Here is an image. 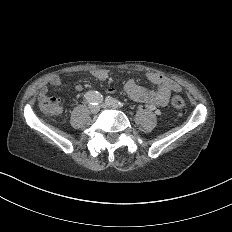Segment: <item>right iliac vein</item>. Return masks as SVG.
Wrapping results in <instances>:
<instances>
[{
    "label": "right iliac vein",
    "mask_w": 232,
    "mask_h": 232,
    "mask_svg": "<svg viewBox=\"0 0 232 232\" xmlns=\"http://www.w3.org/2000/svg\"><path fill=\"white\" fill-rule=\"evenodd\" d=\"M89 110L91 113H98L100 111V106H92L91 104L89 105Z\"/></svg>",
    "instance_id": "obj_1"
}]
</instances>
